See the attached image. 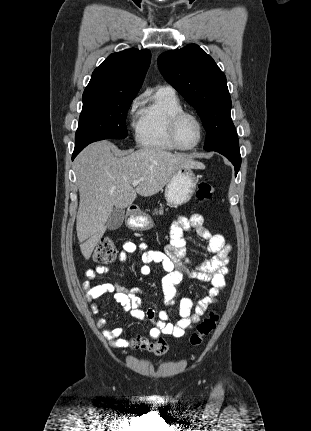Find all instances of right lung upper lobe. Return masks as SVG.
<instances>
[{
	"instance_id": "1",
	"label": "right lung upper lobe",
	"mask_w": 311,
	"mask_h": 431,
	"mask_svg": "<svg viewBox=\"0 0 311 431\" xmlns=\"http://www.w3.org/2000/svg\"><path fill=\"white\" fill-rule=\"evenodd\" d=\"M151 61L150 50L127 49L111 54L92 73L84 93L104 92L135 95Z\"/></svg>"
}]
</instances>
